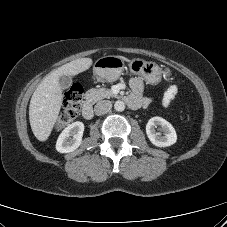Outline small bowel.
Segmentation results:
<instances>
[{
	"mask_svg": "<svg viewBox=\"0 0 227 227\" xmlns=\"http://www.w3.org/2000/svg\"><path fill=\"white\" fill-rule=\"evenodd\" d=\"M132 94L128 98V103L132 108L147 106L150 99L143 96V83L140 79L134 78L130 82ZM178 93L176 85H170L162 97V105L167 107L171 104Z\"/></svg>",
	"mask_w": 227,
	"mask_h": 227,
	"instance_id": "small-bowel-1",
	"label": "small bowel"
}]
</instances>
